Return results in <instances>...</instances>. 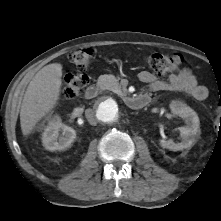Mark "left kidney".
I'll return each mask as SVG.
<instances>
[{"instance_id":"obj_1","label":"left kidney","mask_w":221,"mask_h":221,"mask_svg":"<svg viewBox=\"0 0 221 221\" xmlns=\"http://www.w3.org/2000/svg\"><path fill=\"white\" fill-rule=\"evenodd\" d=\"M171 112L185 120L186 125L179 128L181 142L175 143L172 140H160L163 148L171 151H180L191 148L193 142L200 135V121L196 112L182 101H172Z\"/></svg>"}]
</instances>
